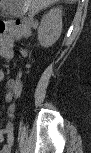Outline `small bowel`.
Segmentation results:
<instances>
[{
	"instance_id": "c3829d8e",
	"label": "small bowel",
	"mask_w": 91,
	"mask_h": 153,
	"mask_svg": "<svg viewBox=\"0 0 91 153\" xmlns=\"http://www.w3.org/2000/svg\"><path fill=\"white\" fill-rule=\"evenodd\" d=\"M12 22L8 23L7 25H11ZM12 32V36L15 38H21L28 36L30 34L29 27L28 28H16ZM1 53L4 57H10L11 56V48L8 46H4L1 49ZM1 77H3V74H1ZM3 134L6 136L7 139V145L3 148L4 152H9L10 148L14 142V135L11 128H7Z\"/></svg>"
}]
</instances>
